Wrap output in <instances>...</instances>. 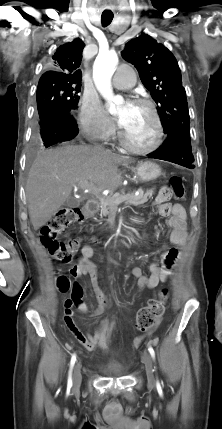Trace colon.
Listing matches in <instances>:
<instances>
[{
	"mask_svg": "<svg viewBox=\"0 0 222 429\" xmlns=\"http://www.w3.org/2000/svg\"><path fill=\"white\" fill-rule=\"evenodd\" d=\"M160 195L168 200L171 198L182 199L185 196V190L181 177L172 176L170 185L160 191ZM84 218V213L80 208H65L60 210L54 217L41 229L40 241L49 255L63 263L70 262L76 255L79 242L77 240L60 241L58 236L70 225H73ZM58 287L62 292L78 290L79 285L71 284L66 276H61L57 281ZM169 292L167 289L161 290L159 297L150 299L146 306L142 307L136 318V328L145 332L152 329L167 309Z\"/></svg>",
	"mask_w": 222,
	"mask_h": 429,
	"instance_id": "5ec220e1",
	"label": "colon"
}]
</instances>
